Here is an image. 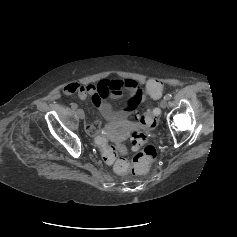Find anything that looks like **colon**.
<instances>
[{"label":"colon","mask_w":237,"mask_h":237,"mask_svg":"<svg viewBox=\"0 0 237 237\" xmlns=\"http://www.w3.org/2000/svg\"><path fill=\"white\" fill-rule=\"evenodd\" d=\"M164 83L161 80L152 79L146 84V92L154 99L161 96ZM159 111L157 109L149 110L135 117L139 129H136L131 135V145L134 151L132 161L129 162L120 154H124L126 149L121 144H111L104 138H100L98 144L101 149L103 159L114 165V169L121 175L142 174L145 173L157 156L156 148L147 143V137L143 128L150 129L157 125Z\"/></svg>","instance_id":"colon-1"}]
</instances>
